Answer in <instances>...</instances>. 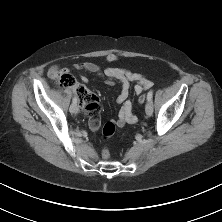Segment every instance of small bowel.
<instances>
[{"label": "small bowel", "instance_id": "obj_1", "mask_svg": "<svg viewBox=\"0 0 222 222\" xmlns=\"http://www.w3.org/2000/svg\"><path fill=\"white\" fill-rule=\"evenodd\" d=\"M118 57L114 54H108L105 56L104 60L106 62H114ZM74 69L95 74L99 77L105 79V83L108 85H113L115 82L121 84V92L117 97V103L121 104V108L118 113V117L115 124L118 127H124L128 124H134L137 122V117L132 111V102L129 99V90L131 83H136L134 90L137 95L142 94L145 90L152 87V82L148 80L143 74L131 72L124 68H106L102 69L99 64L94 62H85L74 64ZM67 69H60L58 66H51L48 70V74L51 78H55L59 73H65ZM84 83L88 82L86 75L80 76ZM86 115L89 118V127L91 130L95 131L100 126V110L97 112H87Z\"/></svg>", "mask_w": 222, "mask_h": 222}]
</instances>
